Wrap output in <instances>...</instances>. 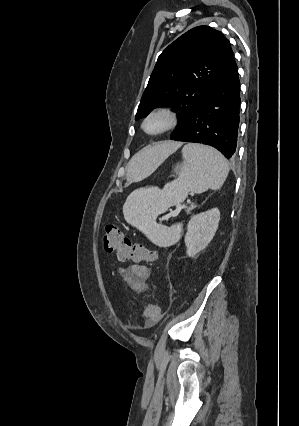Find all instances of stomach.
<instances>
[{"label": "stomach", "mask_w": 299, "mask_h": 426, "mask_svg": "<svg viewBox=\"0 0 299 426\" xmlns=\"http://www.w3.org/2000/svg\"><path fill=\"white\" fill-rule=\"evenodd\" d=\"M182 165H183V163H182V164H178V165L175 167L174 171L176 172V174H179V173H180L181 168H182Z\"/></svg>", "instance_id": "stomach-1"}]
</instances>
